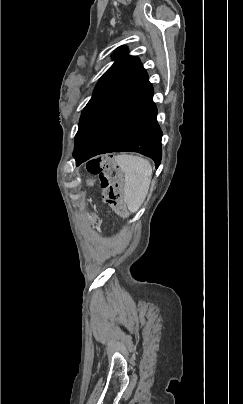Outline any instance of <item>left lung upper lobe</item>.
<instances>
[{"label":"left lung upper lobe","mask_w":243,"mask_h":404,"mask_svg":"<svg viewBox=\"0 0 243 404\" xmlns=\"http://www.w3.org/2000/svg\"><path fill=\"white\" fill-rule=\"evenodd\" d=\"M115 63L99 79L92 98L82 111L75 136V155L97 119L109 108L148 81V75L136 56L127 55L124 46L114 52Z\"/></svg>","instance_id":"obj_1"}]
</instances>
